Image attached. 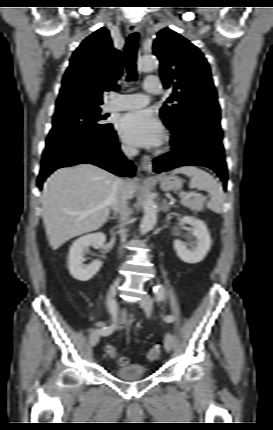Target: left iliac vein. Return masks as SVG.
Returning <instances> with one entry per match:
<instances>
[{
    "instance_id": "1",
    "label": "left iliac vein",
    "mask_w": 273,
    "mask_h": 430,
    "mask_svg": "<svg viewBox=\"0 0 273 430\" xmlns=\"http://www.w3.org/2000/svg\"><path fill=\"white\" fill-rule=\"evenodd\" d=\"M140 306L146 312L150 314L152 311V299L148 294H145L140 299ZM174 345V337L171 334H166L164 339V347L167 352H170Z\"/></svg>"
}]
</instances>
